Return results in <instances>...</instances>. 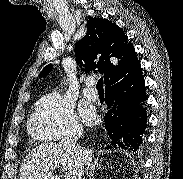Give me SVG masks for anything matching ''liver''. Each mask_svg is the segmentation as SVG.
<instances>
[{"instance_id": "obj_1", "label": "liver", "mask_w": 183, "mask_h": 179, "mask_svg": "<svg viewBox=\"0 0 183 179\" xmlns=\"http://www.w3.org/2000/svg\"><path fill=\"white\" fill-rule=\"evenodd\" d=\"M83 165L93 161L92 150L77 147ZM62 167L64 179H76L75 158L60 144L43 143L33 148L21 163L18 179H57L52 172Z\"/></svg>"}]
</instances>
